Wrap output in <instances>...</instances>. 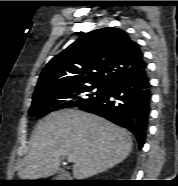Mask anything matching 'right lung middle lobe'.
<instances>
[{
  "mask_svg": "<svg viewBox=\"0 0 178 186\" xmlns=\"http://www.w3.org/2000/svg\"><path fill=\"white\" fill-rule=\"evenodd\" d=\"M107 89L108 84L93 83L72 88L39 91L33 95L29 114L41 118L62 108L81 107L102 96Z\"/></svg>",
  "mask_w": 178,
  "mask_h": 186,
  "instance_id": "obj_1",
  "label": "right lung middle lobe"
}]
</instances>
